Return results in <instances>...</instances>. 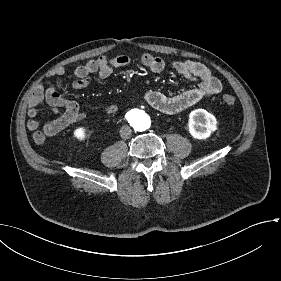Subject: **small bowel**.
Instances as JSON below:
<instances>
[{
  "label": "small bowel",
  "mask_w": 281,
  "mask_h": 281,
  "mask_svg": "<svg viewBox=\"0 0 281 281\" xmlns=\"http://www.w3.org/2000/svg\"><path fill=\"white\" fill-rule=\"evenodd\" d=\"M140 62L154 73H161L167 68L185 77L194 87L174 96H167L157 90H148L145 93V101L153 109L167 115H175L185 111L202 99L216 95L222 90L221 81L213 75L211 70L204 64L194 61H173L167 64L165 60L152 54H143ZM132 64V59L128 55H118L114 58L101 56L95 60H90L85 64L77 65L74 68L75 81L72 86L76 90L87 88L91 83L90 76L97 74L100 78H108L114 69L128 67ZM64 74L62 67L54 68L48 77H58ZM47 103L57 118L43 126L39 130L38 107ZM105 113L116 114L119 107L116 104H108ZM27 128L33 131L34 143L41 145L45 137H53L62 132L70 125L80 122L85 118V113L80 109L79 103L75 100L63 97L57 91V86L53 85L44 89L39 86L27 110ZM41 134L43 138L41 137Z\"/></svg>",
  "instance_id": "c3829d8e"
}]
</instances>
